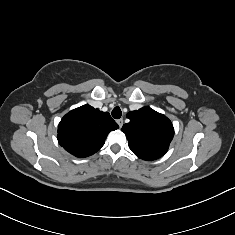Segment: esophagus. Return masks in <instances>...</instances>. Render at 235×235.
<instances>
[{"mask_svg": "<svg viewBox=\"0 0 235 235\" xmlns=\"http://www.w3.org/2000/svg\"><path fill=\"white\" fill-rule=\"evenodd\" d=\"M117 123H118L119 127L121 128L123 126V119H118Z\"/></svg>", "mask_w": 235, "mask_h": 235, "instance_id": "1", "label": "esophagus"}]
</instances>
